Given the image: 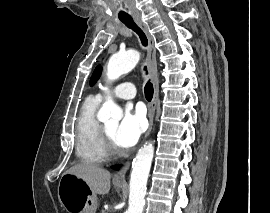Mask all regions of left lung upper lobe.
Returning <instances> with one entry per match:
<instances>
[{"instance_id": "1", "label": "left lung upper lobe", "mask_w": 270, "mask_h": 213, "mask_svg": "<svg viewBox=\"0 0 270 213\" xmlns=\"http://www.w3.org/2000/svg\"><path fill=\"white\" fill-rule=\"evenodd\" d=\"M101 71H102V67L99 65L96 67V69L94 70L91 80H90V85L93 86L97 80L99 79L100 75H101Z\"/></svg>"}]
</instances>
